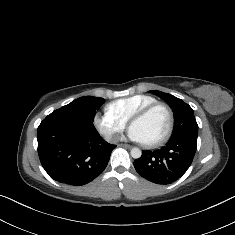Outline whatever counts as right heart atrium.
<instances>
[{"label":"right heart atrium","instance_id":"1","mask_svg":"<svg viewBox=\"0 0 235 235\" xmlns=\"http://www.w3.org/2000/svg\"><path fill=\"white\" fill-rule=\"evenodd\" d=\"M92 122L96 130L107 140L114 139L128 124L127 120L113 112L110 104L104 105L100 111L94 113Z\"/></svg>","mask_w":235,"mask_h":235}]
</instances>
